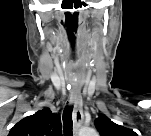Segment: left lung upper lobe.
Listing matches in <instances>:
<instances>
[{"label":"left lung upper lobe","instance_id":"obj_1","mask_svg":"<svg viewBox=\"0 0 151 136\" xmlns=\"http://www.w3.org/2000/svg\"><path fill=\"white\" fill-rule=\"evenodd\" d=\"M95 126L101 136H134L132 130L112 122L106 116L98 117Z\"/></svg>","mask_w":151,"mask_h":136}]
</instances>
